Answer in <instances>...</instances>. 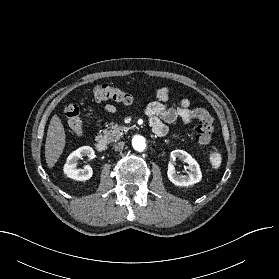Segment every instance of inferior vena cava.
<instances>
[{"instance_id":"inferior-vena-cava-1","label":"inferior vena cava","mask_w":279,"mask_h":279,"mask_svg":"<svg viewBox=\"0 0 279 279\" xmlns=\"http://www.w3.org/2000/svg\"><path fill=\"white\" fill-rule=\"evenodd\" d=\"M124 145H125V142H123V141L118 142V143H116V144L113 146V149H114L115 151H121V150H123Z\"/></svg>"}]
</instances>
